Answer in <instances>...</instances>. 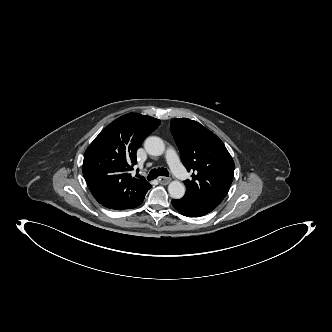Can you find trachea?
Here are the masks:
<instances>
[{"instance_id":"obj_1","label":"trachea","mask_w":332,"mask_h":332,"mask_svg":"<svg viewBox=\"0 0 332 332\" xmlns=\"http://www.w3.org/2000/svg\"><path fill=\"white\" fill-rule=\"evenodd\" d=\"M169 176V172L166 168L152 169L147 177L148 180L156 179L158 176Z\"/></svg>"}]
</instances>
